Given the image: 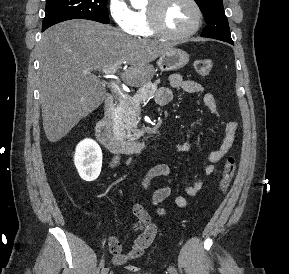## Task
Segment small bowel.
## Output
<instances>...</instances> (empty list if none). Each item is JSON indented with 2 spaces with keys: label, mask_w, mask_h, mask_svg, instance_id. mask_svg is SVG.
Segmentation results:
<instances>
[{
  "label": "small bowel",
  "mask_w": 289,
  "mask_h": 274,
  "mask_svg": "<svg viewBox=\"0 0 289 274\" xmlns=\"http://www.w3.org/2000/svg\"><path fill=\"white\" fill-rule=\"evenodd\" d=\"M170 85L172 88L180 89L186 93H198L202 95L204 105L215 115H218L217 104L214 96L207 92L204 86L196 81L185 80L180 75L174 74L170 77ZM156 100L160 105H167L172 100V92L169 88L162 87L158 90ZM222 134L219 138L218 147L211 151L205 158L206 164L203 167L204 175H213L216 171V163L219 162L231 149L235 135L238 130V124L235 121H227L222 123ZM190 149L189 143L177 144L176 150L179 152H187ZM119 164V158H114L110 166L115 167ZM171 169L166 164H157L153 166L145 175L141 183V191H145L150 182L157 177H167V183L156 190L152 195V204L156 208L159 215L167 214V210L159 207V204L168 196L174 195V202L177 207L185 208L188 206L186 196L178 193L171 185L169 179ZM204 187V181L195 177L191 182L185 184L184 191L189 197L196 196ZM133 214L137 218L134 230L139 232L133 245L129 251L125 252L116 237H111L108 242L109 250L112 254V260L115 265H122L127 261L139 258L144 251L152 244L157 234V225L153 222L150 214L144 209L140 203L133 206Z\"/></svg>",
  "instance_id": "obj_1"
}]
</instances>
